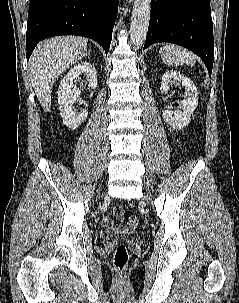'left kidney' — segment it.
<instances>
[{
  "instance_id": "5707ae66",
  "label": "left kidney",
  "mask_w": 239,
  "mask_h": 303,
  "mask_svg": "<svg viewBox=\"0 0 239 303\" xmlns=\"http://www.w3.org/2000/svg\"><path fill=\"white\" fill-rule=\"evenodd\" d=\"M180 83L185 87L184 99L178 101L175 111L167 109L163 112V120L175 130H181L191 120V115L198 105V92L194 83L187 77L176 71H167L162 77L160 91L168 94L172 84Z\"/></svg>"
}]
</instances>
